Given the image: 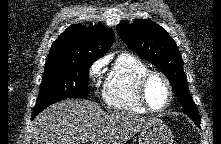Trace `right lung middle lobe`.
Returning <instances> with one entry per match:
<instances>
[{"instance_id": "right-lung-middle-lobe-1", "label": "right lung middle lobe", "mask_w": 221, "mask_h": 144, "mask_svg": "<svg viewBox=\"0 0 221 144\" xmlns=\"http://www.w3.org/2000/svg\"><path fill=\"white\" fill-rule=\"evenodd\" d=\"M92 64L90 61L46 63L33 114H38L53 103L67 98L86 97L89 68Z\"/></svg>"}]
</instances>
